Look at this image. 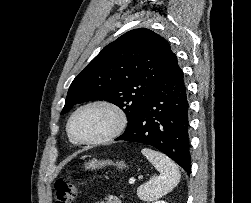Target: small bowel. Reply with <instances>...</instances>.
<instances>
[{"label":"small bowel","instance_id":"obj_1","mask_svg":"<svg viewBox=\"0 0 251 203\" xmlns=\"http://www.w3.org/2000/svg\"><path fill=\"white\" fill-rule=\"evenodd\" d=\"M97 203H122V202L116 197L109 196V197H106V198L98 201Z\"/></svg>","mask_w":251,"mask_h":203}]
</instances>
